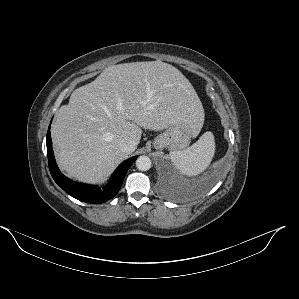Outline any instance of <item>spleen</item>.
<instances>
[{
  "label": "spleen",
  "instance_id": "spleen-1",
  "mask_svg": "<svg viewBox=\"0 0 299 299\" xmlns=\"http://www.w3.org/2000/svg\"><path fill=\"white\" fill-rule=\"evenodd\" d=\"M214 153V136L211 132H205L187 149L170 152V159L183 175L196 176L210 165Z\"/></svg>",
  "mask_w": 299,
  "mask_h": 299
}]
</instances>
